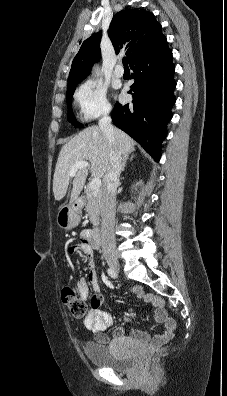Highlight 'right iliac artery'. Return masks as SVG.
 Wrapping results in <instances>:
<instances>
[{"instance_id":"1","label":"right iliac artery","mask_w":227,"mask_h":396,"mask_svg":"<svg viewBox=\"0 0 227 396\" xmlns=\"http://www.w3.org/2000/svg\"><path fill=\"white\" fill-rule=\"evenodd\" d=\"M107 273H108V275L110 276V277H112V278H117V273H116V271L115 270H113V269H111V268H108L107 269Z\"/></svg>"}]
</instances>
